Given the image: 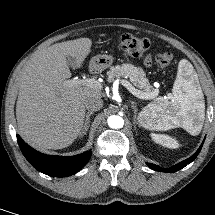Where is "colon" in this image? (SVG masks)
Instances as JSON below:
<instances>
[{"label":"colon","mask_w":215,"mask_h":215,"mask_svg":"<svg viewBox=\"0 0 215 215\" xmlns=\"http://www.w3.org/2000/svg\"><path fill=\"white\" fill-rule=\"evenodd\" d=\"M118 45L127 55L139 58L149 49L150 43L145 38L123 34L118 38ZM172 61L173 55L170 52L157 56V63L161 68L169 67Z\"/></svg>","instance_id":"obj_1"}]
</instances>
